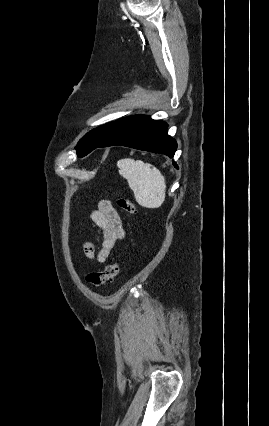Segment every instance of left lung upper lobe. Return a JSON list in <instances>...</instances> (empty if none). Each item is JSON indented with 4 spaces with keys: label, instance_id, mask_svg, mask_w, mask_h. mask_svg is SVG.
Segmentation results:
<instances>
[{
    "label": "left lung upper lobe",
    "instance_id": "5c2ea615",
    "mask_svg": "<svg viewBox=\"0 0 269 426\" xmlns=\"http://www.w3.org/2000/svg\"><path fill=\"white\" fill-rule=\"evenodd\" d=\"M113 123H107L88 132L76 146L77 156L83 157L94 150L103 141Z\"/></svg>",
    "mask_w": 269,
    "mask_h": 426
}]
</instances>
